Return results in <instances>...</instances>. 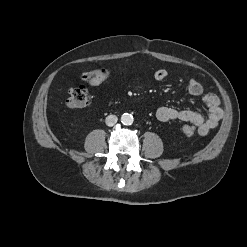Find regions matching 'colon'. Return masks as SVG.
Returning a JSON list of instances; mask_svg holds the SVG:
<instances>
[{"label": "colon", "mask_w": 247, "mask_h": 247, "mask_svg": "<svg viewBox=\"0 0 247 247\" xmlns=\"http://www.w3.org/2000/svg\"><path fill=\"white\" fill-rule=\"evenodd\" d=\"M110 77V72L106 69H99L93 72L91 77L88 79V84L91 86H98L106 82ZM91 97L85 86H78L72 88L69 91V95L65 100V104L69 108H81L89 105ZM182 131L185 135L191 136L196 132V126L192 124L184 125Z\"/></svg>", "instance_id": "1"}]
</instances>
